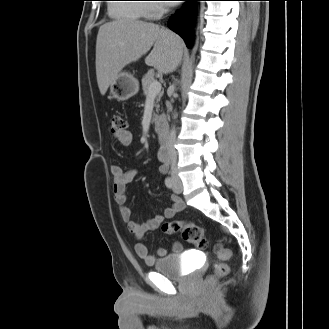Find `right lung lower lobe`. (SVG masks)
Wrapping results in <instances>:
<instances>
[{"label": "right lung lower lobe", "instance_id": "98d812e1", "mask_svg": "<svg viewBox=\"0 0 329 329\" xmlns=\"http://www.w3.org/2000/svg\"><path fill=\"white\" fill-rule=\"evenodd\" d=\"M183 1H187V3L172 17L171 21L168 23V27L179 34L189 48L193 37L192 26L194 22L193 17L195 13V2L203 0Z\"/></svg>", "mask_w": 329, "mask_h": 329}]
</instances>
